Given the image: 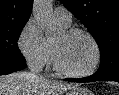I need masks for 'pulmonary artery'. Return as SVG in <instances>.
I'll return each instance as SVG.
<instances>
[{
  "label": "pulmonary artery",
  "instance_id": "1",
  "mask_svg": "<svg viewBox=\"0 0 119 95\" xmlns=\"http://www.w3.org/2000/svg\"><path fill=\"white\" fill-rule=\"evenodd\" d=\"M54 17L57 21L66 26H69L72 21L71 13L62 6H58L55 8Z\"/></svg>",
  "mask_w": 119,
  "mask_h": 95
}]
</instances>
